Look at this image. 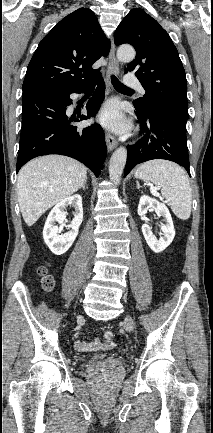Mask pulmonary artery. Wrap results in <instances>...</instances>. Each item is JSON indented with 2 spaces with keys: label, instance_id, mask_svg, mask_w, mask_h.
<instances>
[{
  "label": "pulmonary artery",
  "instance_id": "obj_1",
  "mask_svg": "<svg viewBox=\"0 0 213 433\" xmlns=\"http://www.w3.org/2000/svg\"><path fill=\"white\" fill-rule=\"evenodd\" d=\"M124 84L128 87H135L137 88L141 93H144V89L141 86L138 79L131 73L127 74L124 78Z\"/></svg>",
  "mask_w": 213,
  "mask_h": 433
}]
</instances>
